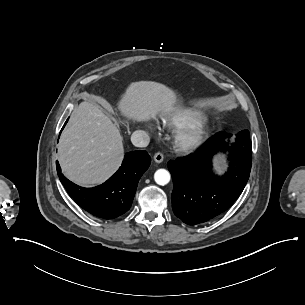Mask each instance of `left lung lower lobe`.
Segmentation results:
<instances>
[{
    "instance_id": "obj_1",
    "label": "left lung lower lobe",
    "mask_w": 305,
    "mask_h": 305,
    "mask_svg": "<svg viewBox=\"0 0 305 305\" xmlns=\"http://www.w3.org/2000/svg\"><path fill=\"white\" fill-rule=\"evenodd\" d=\"M236 136L228 146L225 138L230 135L217 133L196 153L168 162L174 185L172 209L184 223L196 225L214 218L242 193L250 175L252 147L248 130ZM218 151H229L230 169L222 177L211 173V159Z\"/></svg>"
}]
</instances>
